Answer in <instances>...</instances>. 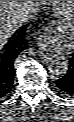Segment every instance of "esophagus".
<instances>
[{
    "instance_id": "34e87169",
    "label": "esophagus",
    "mask_w": 74,
    "mask_h": 122,
    "mask_svg": "<svg viewBox=\"0 0 74 122\" xmlns=\"http://www.w3.org/2000/svg\"><path fill=\"white\" fill-rule=\"evenodd\" d=\"M38 49L40 50H48L49 49V42L47 35H41L36 43Z\"/></svg>"
}]
</instances>
